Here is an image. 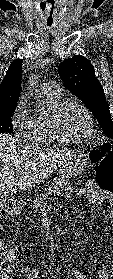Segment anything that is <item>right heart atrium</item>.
<instances>
[{
  "instance_id": "right-heart-atrium-1",
  "label": "right heart atrium",
  "mask_w": 113,
  "mask_h": 279,
  "mask_svg": "<svg viewBox=\"0 0 113 279\" xmlns=\"http://www.w3.org/2000/svg\"><path fill=\"white\" fill-rule=\"evenodd\" d=\"M31 123V117L27 112V99L22 97L12 115V126L19 133H27Z\"/></svg>"
}]
</instances>
